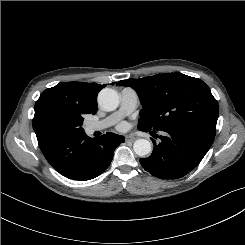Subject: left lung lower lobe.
<instances>
[{
  "label": "left lung lower lobe",
  "mask_w": 245,
  "mask_h": 245,
  "mask_svg": "<svg viewBox=\"0 0 245 245\" xmlns=\"http://www.w3.org/2000/svg\"><path fill=\"white\" fill-rule=\"evenodd\" d=\"M144 132L156 130H141ZM161 142L153 140L150 157L140 159L142 167L161 179H178L192 171L211 147L215 131L196 124L165 127Z\"/></svg>",
  "instance_id": "left-lung-lower-lobe-1"
}]
</instances>
